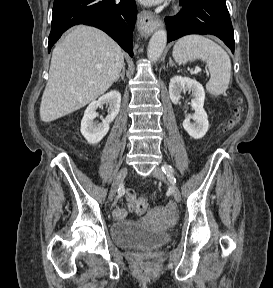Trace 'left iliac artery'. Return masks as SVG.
Wrapping results in <instances>:
<instances>
[{
    "label": "left iliac artery",
    "mask_w": 273,
    "mask_h": 288,
    "mask_svg": "<svg viewBox=\"0 0 273 288\" xmlns=\"http://www.w3.org/2000/svg\"><path fill=\"white\" fill-rule=\"evenodd\" d=\"M162 170L167 175L170 181L176 182V179L173 176L174 170L170 165L167 164L163 165Z\"/></svg>",
    "instance_id": "1"
}]
</instances>
